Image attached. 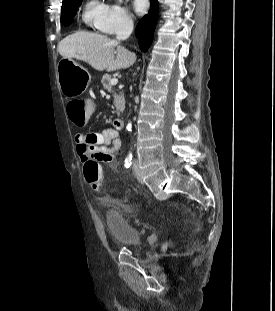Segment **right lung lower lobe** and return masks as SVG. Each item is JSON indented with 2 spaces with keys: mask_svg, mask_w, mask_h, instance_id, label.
<instances>
[{
  "mask_svg": "<svg viewBox=\"0 0 275 311\" xmlns=\"http://www.w3.org/2000/svg\"><path fill=\"white\" fill-rule=\"evenodd\" d=\"M158 0H151V8L136 27L140 49L147 52L153 39V33L157 22Z\"/></svg>",
  "mask_w": 275,
  "mask_h": 311,
  "instance_id": "1",
  "label": "right lung lower lobe"
}]
</instances>
